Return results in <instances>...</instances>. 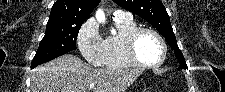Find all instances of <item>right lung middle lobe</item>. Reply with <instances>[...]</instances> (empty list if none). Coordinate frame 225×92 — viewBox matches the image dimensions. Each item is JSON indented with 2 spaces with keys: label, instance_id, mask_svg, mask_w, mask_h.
Instances as JSON below:
<instances>
[{
  "label": "right lung middle lobe",
  "instance_id": "right-lung-middle-lobe-1",
  "mask_svg": "<svg viewBox=\"0 0 225 92\" xmlns=\"http://www.w3.org/2000/svg\"><path fill=\"white\" fill-rule=\"evenodd\" d=\"M83 22L84 20H73L64 24L47 25L31 68L75 50L76 39Z\"/></svg>",
  "mask_w": 225,
  "mask_h": 92
}]
</instances>
